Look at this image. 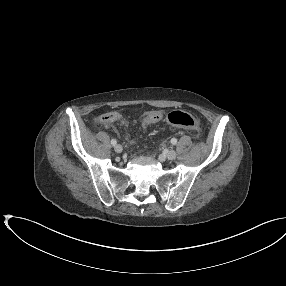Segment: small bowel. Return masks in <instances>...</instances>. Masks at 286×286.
<instances>
[{
	"instance_id": "c3829d8e",
	"label": "small bowel",
	"mask_w": 286,
	"mask_h": 286,
	"mask_svg": "<svg viewBox=\"0 0 286 286\" xmlns=\"http://www.w3.org/2000/svg\"><path fill=\"white\" fill-rule=\"evenodd\" d=\"M163 113L159 110H152L144 113L142 117V126H148L151 124L158 123L161 121ZM97 122L104 126H110L117 124L121 127L126 128L128 126L127 122L123 117L117 112H107L98 117Z\"/></svg>"
}]
</instances>
